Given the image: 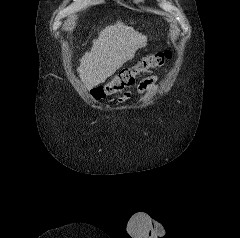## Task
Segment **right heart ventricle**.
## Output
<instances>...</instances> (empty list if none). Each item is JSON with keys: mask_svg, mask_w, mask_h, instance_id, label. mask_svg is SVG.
<instances>
[{"mask_svg": "<svg viewBox=\"0 0 240 238\" xmlns=\"http://www.w3.org/2000/svg\"><path fill=\"white\" fill-rule=\"evenodd\" d=\"M133 1L140 2V1H142V0H133Z\"/></svg>", "mask_w": 240, "mask_h": 238, "instance_id": "right-heart-ventricle-1", "label": "right heart ventricle"}]
</instances>
